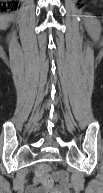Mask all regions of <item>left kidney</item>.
Here are the masks:
<instances>
[{
  "label": "left kidney",
  "instance_id": "1",
  "mask_svg": "<svg viewBox=\"0 0 103 193\" xmlns=\"http://www.w3.org/2000/svg\"><path fill=\"white\" fill-rule=\"evenodd\" d=\"M86 25H87L88 30H89L90 34L92 35V37L94 39H96L98 37V33H99L98 22L95 20L94 21L88 20L86 22Z\"/></svg>",
  "mask_w": 103,
  "mask_h": 193
}]
</instances>
